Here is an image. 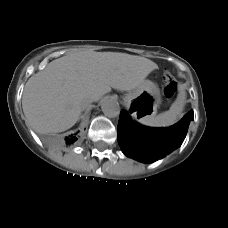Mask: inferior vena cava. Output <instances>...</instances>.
<instances>
[{
    "label": "inferior vena cava",
    "mask_w": 228,
    "mask_h": 228,
    "mask_svg": "<svg viewBox=\"0 0 228 228\" xmlns=\"http://www.w3.org/2000/svg\"><path fill=\"white\" fill-rule=\"evenodd\" d=\"M92 102L93 100L90 97H84L80 102L81 109L85 110Z\"/></svg>",
    "instance_id": "inferior-vena-cava-1"
}]
</instances>
